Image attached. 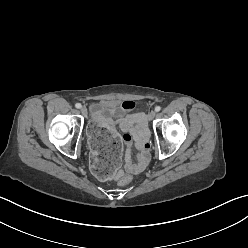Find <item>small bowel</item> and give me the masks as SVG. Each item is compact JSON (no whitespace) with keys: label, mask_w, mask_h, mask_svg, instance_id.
I'll use <instances>...</instances> for the list:
<instances>
[{"label":"small bowel","mask_w":248,"mask_h":248,"mask_svg":"<svg viewBox=\"0 0 248 248\" xmlns=\"http://www.w3.org/2000/svg\"><path fill=\"white\" fill-rule=\"evenodd\" d=\"M135 108L133 101H124L120 104L115 101H104L103 110L108 114L104 121L110 132H114L113 127L117 124L124 132L123 141L126 145L124 157L125 171L131 174L139 173L144 169L149 161V141L146 118L142 113L132 112ZM115 117L116 121L112 118ZM135 146L139 151L133 157L131 149ZM122 171L119 175H122Z\"/></svg>","instance_id":"small-bowel-1"}]
</instances>
